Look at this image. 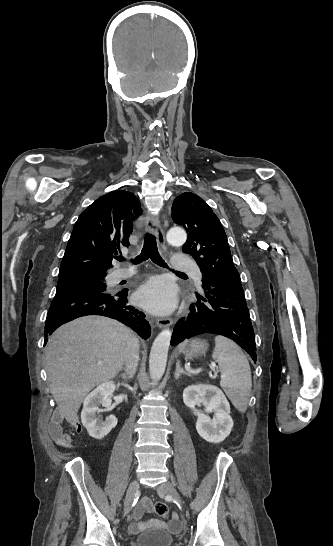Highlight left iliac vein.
I'll use <instances>...</instances> for the list:
<instances>
[{
	"instance_id": "4c4485c4",
	"label": "left iliac vein",
	"mask_w": 333,
	"mask_h": 546,
	"mask_svg": "<svg viewBox=\"0 0 333 546\" xmlns=\"http://www.w3.org/2000/svg\"><path fill=\"white\" fill-rule=\"evenodd\" d=\"M157 492L162 495H170L173 497L176 501L181 503V498L177 492V490L174 488L173 484L169 481L159 485L157 487Z\"/></svg>"
}]
</instances>
